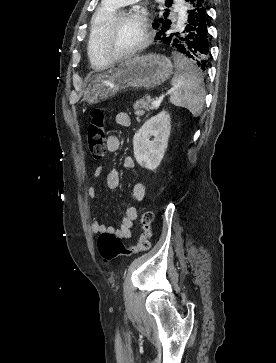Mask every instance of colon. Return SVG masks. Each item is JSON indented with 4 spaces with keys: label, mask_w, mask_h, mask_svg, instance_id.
<instances>
[{
    "label": "colon",
    "mask_w": 276,
    "mask_h": 363,
    "mask_svg": "<svg viewBox=\"0 0 276 363\" xmlns=\"http://www.w3.org/2000/svg\"><path fill=\"white\" fill-rule=\"evenodd\" d=\"M105 114L100 108H96L91 113L88 122V147L92 157L102 160L106 155L105 145ZM153 213L151 210H143L140 218L141 239L139 242L140 251H148L151 248V223ZM99 253L104 261H110L118 256H130L133 250L125 246L122 241L113 234L102 233L98 238Z\"/></svg>",
    "instance_id": "colon-1"
}]
</instances>
